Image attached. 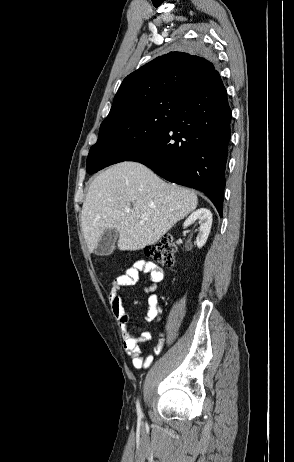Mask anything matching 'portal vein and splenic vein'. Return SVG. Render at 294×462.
<instances>
[{"instance_id":"18ae733b","label":"portal vein and splenic vein","mask_w":294,"mask_h":462,"mask_svg":"<svg viewBox=\"0 0 294 462\" xmlns=\"http://www.w3.org/2000/svg\"><path fill=\"white\" fill-rule=\"evenodd\" d=\"M131 211H132V209L129 208V207H126V208H125V212H128V213H129V212H131ZM142 219H143V220H147V216L143 215V216H142Z\"/></svg>"}]
</instances>
